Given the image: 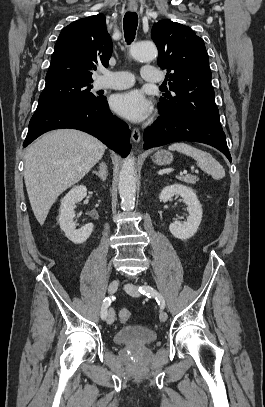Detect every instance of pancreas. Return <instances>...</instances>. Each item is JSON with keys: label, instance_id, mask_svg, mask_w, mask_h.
<instances>
[{"label": "pancreas", "instance_id": "1", "mask_svg": "<svg viewBox=\"0 0 265 407\" xmlns=\"http://www.w3.org/2000/svg\"><path fill=\"white\" fill-rule=\"evenodd\" d=\"M178 179L188 184H195L196 181L198 180L197 176L194 175H186L183 177H179Z\"/></svg>", "mask_w": 265, "mask_h": 407}]
</instances>
